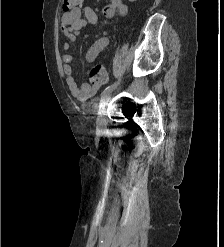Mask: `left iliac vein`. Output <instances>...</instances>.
<instances>
[{"label": "left iliac vein", "mask_w": 224, "mask_h": 247, "mask_svg": "<svg viewBox=\"0 0 224 247\" xmlns=\"http://www.w3.org/2000/svg\"><path fill=\"white\" fill-rule=\"evenodd\" d=\"M112 91H113V89L104 93L101 97V101H100V105H99V114L97 117V129H99V130H102L105 126L103 115L105 112V107L111 99Z\"/></svg>", "instance_id": "1"}]
</instances>
